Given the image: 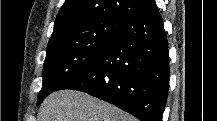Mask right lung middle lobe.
Here are the masks:
<instances>
[{
    "label": "right lung middle lobe",
    "instance_id": "right-lung-middle-lobe-1",
    "mask_svg": "<svg viewBox=\"0 0 217 121\" xmlns=\"http://www.w3.org/2000/svg\"><path fill=\"white\" fill-rule=\"evenodd\" d=\"M124 23L114 19L81 23L49 42L37 105L62 83L90 65Z\"/></svg>",
    "mask_w": 217,
    "mask_h": 121
}]
</instances>
